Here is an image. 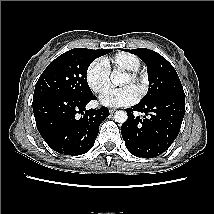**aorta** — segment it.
Returning <instances> with one entry per match:
<instances>
[{"instance_id":"1","label":"aorta","mask_w":214,"mask_h":214,"mask_svg":"<svg viewBox=\"0 0 214 214\" xmlns=\"http://www.w3.org/2000/svg\"><path fill=\"white\" fill-rule=\"evenodd\" d=\"M111 81L114 85H119L122 82V74L118 71H113L111 73ZM128 119V115L125 111L119 110L114 114V120L118 123H125Z\"/></svg>"}]
</instances>
